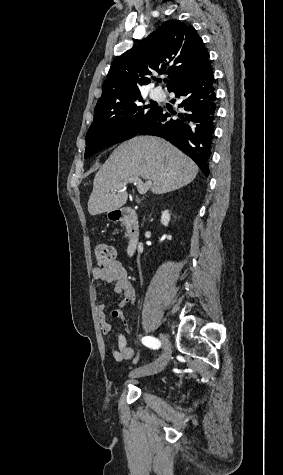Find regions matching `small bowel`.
Returning <instances> with one entry per match:
<instances>
[{
    "mask_svg": "<svg viewBox=\"0 0 283 475\" xmlns=\"http://www.w3.org/2000/svg\"><path fill=\"white\" fill-rule=\"evenodd\" d=\"M91 275L99 284L110 283L114 292L120 296L118 303L119 309L113 311L111 323L107 319L106 306L103 303L97 306V316L100 330L103 335H108L112 331V326H121L123 314L121 308L135 301V292L128 278V273L120 261H114L105 266H96L91 270ZM111 354L115 361L122 362L133 359L134 363H138L139 355L134 356L133 350L129 347L126 336L118 332L116 333V345L111 350Z\"/></svg>",
    "mask_w": 283,
    "mask_h": 475,
    "instance_id": "1",
    "label": "small bowel"
}]
</instances>
